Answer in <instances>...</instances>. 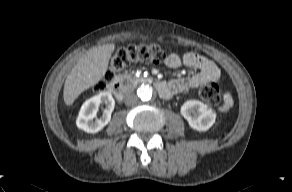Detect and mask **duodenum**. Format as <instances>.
Returning a JSON list of instances; mask_svg holds the SVG:
<instances>
[{
  "instance_id": "1",
  "label": "duodenum",
  "mask_w": 292,
  "mask_h": 192,
  "mask_svg": "<svg viewBox=\"0 0 292 192\" xmlns=\"http://www.w3.org/2000/svg\"><path fill=\"white\" fill-rule=\"evenodd\" d=\"M155 85L162 97H166L170 94V87L167 82L158 81ZM110 91L118 100H123L129 91V81L124 77H118L111 83Z\"/></svg>"
}]
</instances>
